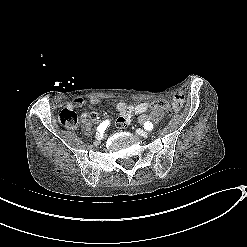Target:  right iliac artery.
Wrapping results in <instances>:
<instances>
[{
  "mask_svg": "<svg viewBox=\"0 0 247 247\" xmlns=\"http://www.w3.org/2000/svg\"><path fill=\"white\" fill-rule=\"evenodd\" d=\"M109 120H105V121H103L99 126H98V131L99 132H104L106 129H107V127L109 126Z\"/></svg>",
  "mask_w": 247,
  "mask_h": 247,
  "instance_id": "obj_1",
  "label": "right iliac artery"
}]
</instances>
